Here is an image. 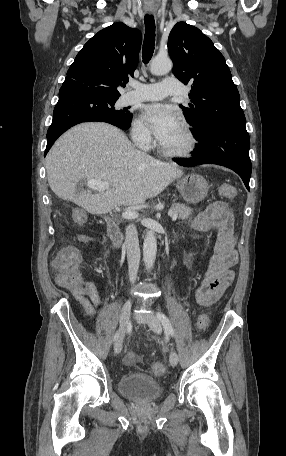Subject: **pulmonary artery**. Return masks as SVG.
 <instances>
[{"label": "pulmonary artery", "instance_id": "1", "mask_svg": "<svg viewBox=\"0 0 286 456\" xmlns=\"http://www.w3.org/2000/svg\"><path fill=\"white\" fill-rule=\"evenodd\" d=\"M131 86L134 89L125 96V104L161 100L180 93L179 82L175 77H165L160 83H132Z\"/></svg>", "mask_w": 286, "mask_h": 456}]
</instances>
